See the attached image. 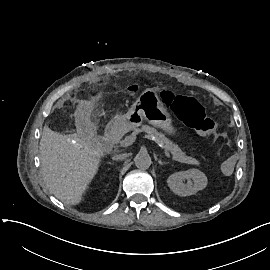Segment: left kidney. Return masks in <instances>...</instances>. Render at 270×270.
I'll return each mask as SVG.
<instances>
[{
	"instance_id": "5707ae66",
	"label": "left kidney",
	"mask_w": 270,
	"mask_h": 270,
	"mask_svg": "<svg viewBox=\"0 0 270 270\" xmlns=\"http://www.w3.org/2000/svg\"><path fill=\"white\" fill-rule=\"evenodd\" d=\"M187 179V184L183 180ZM193 179L194 184L191 180ZM169 188L179 196H190L196 194L199 190H203L208 183L206 175L198 169H189L180 171L170 175L167 179Z\"/></svg>"
}]
</instances>
